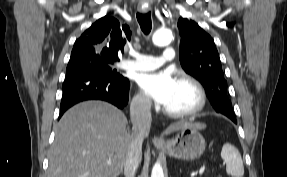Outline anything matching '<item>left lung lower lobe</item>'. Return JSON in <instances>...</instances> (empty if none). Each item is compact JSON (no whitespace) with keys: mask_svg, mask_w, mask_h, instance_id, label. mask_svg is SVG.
<instances>
[{"mask_svg":"<svg viewBox=\"0 0 287 177\" xmlns=\"http://www.w3.org/2000/svg\"><path fill=\"white\" fill-rule=\"evenodd\" d=\"M226 116H227V115H226ZM227 117H229L233 122H235V123H236L235 115H234V116H227Z\"/></svg>","mask_w":287,"mask_h":177,"instance_id":"left-lung-lower-lobe-1","label":"left lung lower lobe"}]
</instances>
